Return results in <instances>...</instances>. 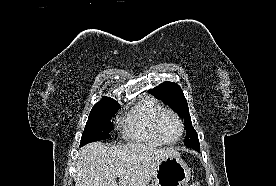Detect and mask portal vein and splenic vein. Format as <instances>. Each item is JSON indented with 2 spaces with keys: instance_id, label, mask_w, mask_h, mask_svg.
Listing matches in <instances>:
<instances>
[{
  "instance_id": "obj_1",
  "label": "portal vein and splenic vein",
  "mask_w": 276,
  "mask_h": 186,
  "mask_svg": "<svg viewBox=\"0 0 276 186\" xmlns=\"http://www.w3.org/2000/svg\"><path fill=\"white\" fill-rule=\"evenodd\" d=\"M121 175H122V174H118L117 176H118V177H121Z\"/></svg>"
}]
</instances>
